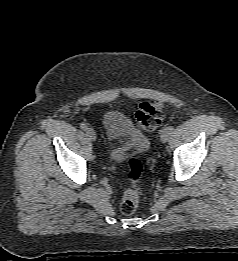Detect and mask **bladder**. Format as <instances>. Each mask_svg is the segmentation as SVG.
<instances>
[{
  "label": "bladder",
  "instance_id": "obj_1",
  "mask_svg": "<svg viewBox=\"0 0 238 261\" xmlns=\"http://www.w3.org/2000/svg\"><path fill=\"white\" fill-rule=\"evenodd\" d=\"M103 127L113 161L122 162L150 147L146 134L119 111H108L103 117Z\"/></svg>",
  "mask_w": 238,
  "mask_h": 261
}]
</instances>
